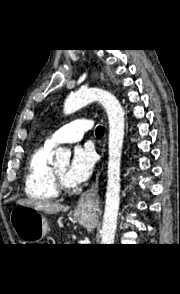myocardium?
I'll return each instance as SVG.
<instances>
[{
	"label": "myocardium",
	"mask_w": 180,
	"mask_h": 294,
	"mask_svg": "<svg viewBox=\"0 0 180 294\" xmlns=\"http://www.w3.org/2000/svg\"><path fill=\"white\" fill-rule=\"evenodd\" d=\"M53 175H54V186L58 193H64V194H70L73 193L74 188L72 186H69L64 179L59 175L56 168H53Z\"/></svg>",
	"instance_id": "1"
}]
</instances>
